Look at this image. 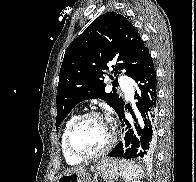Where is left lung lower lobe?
<instances>
[{
    "mask_svg": "<svg viewBox=\"0 0 196 182\" xmlns=\"http://www.w3.org/2000/svg\"><path fill=\"white\" fill-rule=\"evenodd\" d=\"M133 79L137 82L135 99L138 116L129 109L134 117L131 125L125 118L123 104L118 116L125 135L108 156L151 159L155 154L158 120V86L152 58Z\"/></svg>",
    "mask_w": 196,
    "mask_h": 182,
    "instance_id": "1",
    "label": "left lung lower lobe"
}]
</instances>
